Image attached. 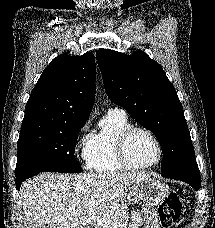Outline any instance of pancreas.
I'll use <instances>...</instances> for the list:
<instances>
[{
  "label": "pancreas",
  "instance_id": "cf45deb5",
  "mask_svg": "<svg viewBox=\"0 0 215 228\" xmlns=\"http://www.w3.org/2000/svg\"><path fill=\"white\" fill-rule=\"evenodd\" d=\"M141 224H143V218L141 216L140 210H136V212H131L129 228H139Z\"/></svg>",
  "mask_w": 215,
  "mask_h": 228
}]
</instances>
